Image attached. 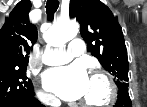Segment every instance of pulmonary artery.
I'll use <instances>...</instances> for the list:
<instances>
[{
  "instance_id": "e3ab8cb5",
  "label": "pulmonary artery",
  "mask_w": 147,
  "mask_h": 107,
  "mask_svg": "<svg viewBox=\"0 0 147 107\" xmlns=\"http://www.w3.org/2000/svg\"><path fill=\"white\" fill-rule=\"evenodd\" d=\"M83 52V41L80 38L73 39L65 50H50L43 55V62L47 65L64 64L73 57Z\"/></svg>"
}]
</instances>
